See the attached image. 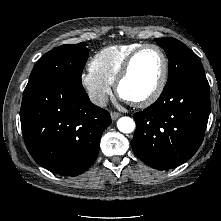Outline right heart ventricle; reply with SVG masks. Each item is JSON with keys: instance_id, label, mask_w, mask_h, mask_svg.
<instances>
[{"instance_id": "right-heart-ventricle-1", "label": "right heart ventricle", "mask_w": 221, "mask_h": 221, "mask_svg": "<svg viewBox=\"0 0 221 221\" xmlns=\"http://www.w3.org/2000/svg\"><path fill=\"white\" fill-rule=\"evenodd\" d=\"M141 45V43L133 42L105 47L93 56L90 69L113 84L129 54Z\"/></svg>"}]
</instances>
